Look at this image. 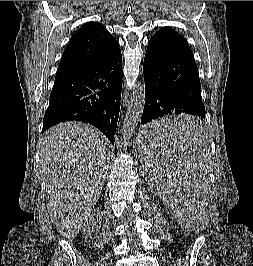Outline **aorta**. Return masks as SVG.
Instances as JSON below:
<instances>
[{"label": "aorta", "instance_id": "1", "mask_svg": "<svg viewBox=\"0 0 253 266\" xmlns=\"http://www.w3.org/2000/svg\"><path fill=\"white\" fill-rule=\"evenodd\" d=\"M145 103L144 81L138 83L132 92L131 101L128 106L122 129V136L128 139L134 134L135 128L141 117Z\"/></svg>", "mask_w": 253, "mask_h": 266}]
</instances>
